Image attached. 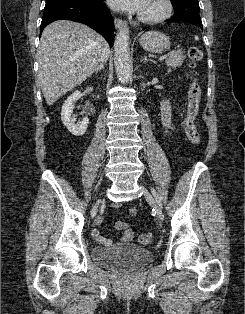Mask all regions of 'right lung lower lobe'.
Masks as SVG:
<instances>
[{"instance_id": "98d812e1", "label": "right lung lower lobe", "mask_w": 245, "mask_h": 314, "mask_svg": "<svg viewBox=\"0 0 245 314\" xmlns=\"http://www.w3.org/2000/svg\"><path fill=\"white\" fill-rule=\"evenodd\" d=\"M63 19L86 24L113 45L114 21L103 0H47L40 33L51 22Z\"/></svg>"}]
</instances>
